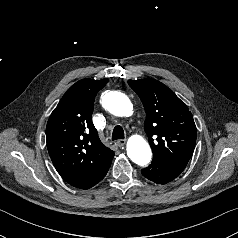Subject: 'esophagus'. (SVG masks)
Instances as JSON below:
<instances>
[{
  "label": "esophagus",
  "mask_w": 238,
  "mask_h": 238,
  "mask_svg": "<svg viewBox=\"0 0 238 238\" xmlns=\"http://www.w3.org/2000/svg\"><path fill=\"white\" fill-rule=\"evenodd\" d=\"M126 143V140L124 139H119L117 140L116 144L119 146V147H123Z\"/></svg>",
  "instance_id": "1"
}]
</instances>
